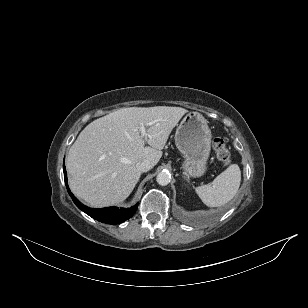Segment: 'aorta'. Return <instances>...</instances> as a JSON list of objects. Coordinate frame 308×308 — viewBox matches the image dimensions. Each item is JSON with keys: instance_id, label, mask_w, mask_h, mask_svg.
Wrapping results in <instances>:
<instances>
[{"instance_id": "1", "label": "aorta", "mask_w": 308, "mask_h": 308, "mask_svg": "<svg viewBox=\"0 0 308 308\" xmlns=\"http://www.w3.org/2000/svg\"><path fill=\"white\" fill-rule=\"evenodd\" d=\"M170 180H171V175L169 172L166 171L160 172L156 177L157 183L161 186L168 185L170 183Z\"/></svg>"}]
</instances>
